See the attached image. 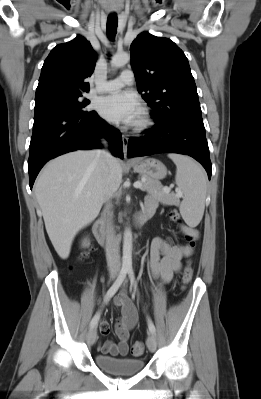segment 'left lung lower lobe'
Returning <instances> with one entry per match:
<instances>
[{"instance_id":"obj_1","label":"left lung lower lobe","mask_w":261,"mask_h":399,"mask_svg":"<svg viewBox=\"0 0 261 399\" xmlns=\"http://www.w3.org/2000/svg\"><path fill=\"white\" fill-rule=\"evenodd\" d=\"M141 138L128 141V157L157 153H179L193 157L202 164L210 180L212 165L201 112L179 114L164 123L142 132Z\"/></svg>"}]
</instances>
